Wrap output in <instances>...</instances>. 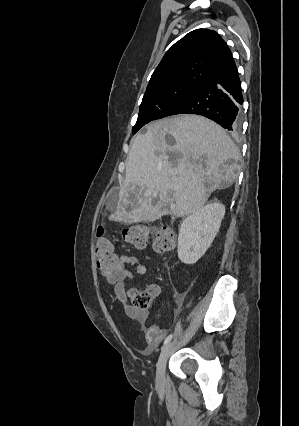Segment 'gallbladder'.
Wrapping results in <instances>:
<instances>
[{
  "label": "gallbladder",
  "instance_id": "bac80fb5",
  "mask_svg": "<svg viewBox=\"0 0 299 426\" xmlns=\"http://www.w3.org/2000/svg\"><path fill=\"white\" fill-rule=\"evenodd\" d=\"M127 210H128V211H130V210H131V206H128V207H127Z\"/></svg>",
  "mask_w": 299,
  "mask_h": 426
}]
</instances>
